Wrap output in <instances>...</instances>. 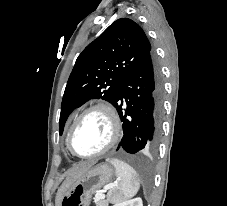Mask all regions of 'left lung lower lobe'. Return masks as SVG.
<instances>
[{"label": "left lung lower lobe", "instance_id": "left-lung-lower-lobe-1", "mask_svg": "<svg viewBox=\"0 0 227 206\" xmlns=\"http://www.w3.org/2000/svg\"><path fill=\"white\" fill-rule=\"evenodd\" d=\"M162 99L161 72L151 53L125 78L114 104L124 133L117 150L141 154L156 149L160 136ZM124 104L126 108H122Z\"/></svg>", "mask_w": 227, "mask_h": 206}]
</instances>
